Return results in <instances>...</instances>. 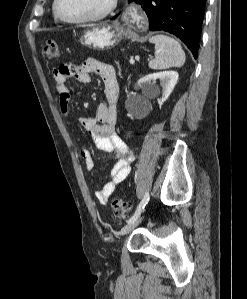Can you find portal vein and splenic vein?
<instances>
[{"mask_svg":"<svg viewBox=\"0 0 247 299\" xmlns=\"http://www.w3.org/2000/svg\"><path fill=\"white\" fill-rule=\"evenodd\" d=\"M129 62H130V64H134L135 60L133 58H131Z\"/></svg>","mask_w":247,"mask_h":299,"instance_id":"18ae733b","label":"portal vein and splenic vein"}]
</instances>
